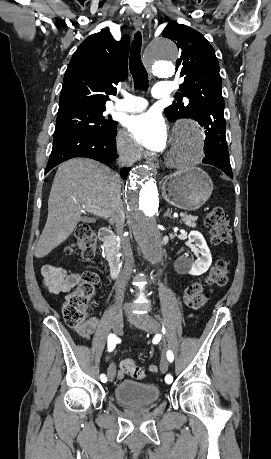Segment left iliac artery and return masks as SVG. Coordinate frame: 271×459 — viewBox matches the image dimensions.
Listing matches in <instances>:
<instances>
[{"label":"left iliac artery","mask_w":271,"mask_h":459,"mask_svg":"<svg viewBox=\"0 0 271 459\" xmlns=\"http://www.w3.org/2000/svg\"><path fill=\"white\" fill-rule=\"evenodd\" d=\"M167 359H168V361H170V362H172L173 359H174V355H173L172 351H170V350L167 351ZM171 377H172V374H171V373H167V374H166V377H165L164 380H165L167 386H170V385H171V381H172V378H171Z\"/></svg>","instance_id":"1"}]
</instances>
